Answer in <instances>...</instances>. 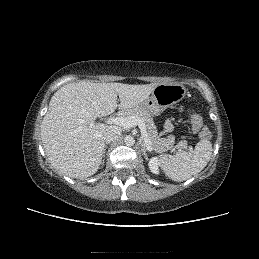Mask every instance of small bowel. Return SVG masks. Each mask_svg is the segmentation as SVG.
<instances>
[{"label":"small bowel","instance_id":"1","mask_svg":"<svg viewBox=\"0 0 259 259\" xmlns=\"http://www.w3.org/2000/svg\"><path fill=\"white\" fill-rule=\"evenodd\" d=\"M171 129V124L169 122L165 123V130L169 131Z\"/></svg>","mask_w":259,"mask_h":259}]
</instances>
